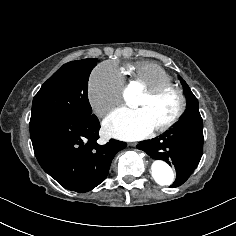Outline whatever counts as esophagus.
<instances>
[{
  "instance_id": "34e87169",
  "label": "esophagus",
  "mask_w": 236,
  "mask_h": 236,
  "mask_svg": "<svg viewBox=\"0 0 236 236\" xmlns=\"http://www.w3.org/2000/svg\"><path fill=\"white\" fill-rule=\"evenodd\" d=\"M129 145L135 147L137 143H130Z\"/></svg>"
}]
</instances>
